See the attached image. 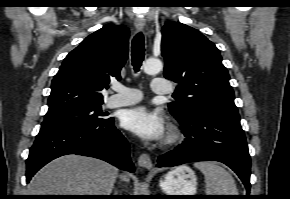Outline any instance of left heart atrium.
<instances>
[{"label":"left heart atrium","instance_id":"obj_1","mask_svg":"<svg viewBox=\"0 0 290 199\" xmlns=\"http://www.w3.org/2000/svg\"><path fill=\"white\" fill-rule=\"evenodd\" d=\"M121 125L145 141L160 140L165 134L163 115L146 106L126 110L121 116Z\"/></svg>","mask_w":290,"mask_h":199}]
</instances>
